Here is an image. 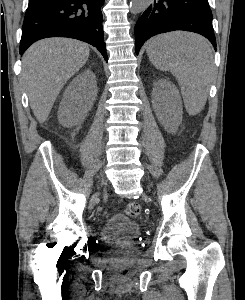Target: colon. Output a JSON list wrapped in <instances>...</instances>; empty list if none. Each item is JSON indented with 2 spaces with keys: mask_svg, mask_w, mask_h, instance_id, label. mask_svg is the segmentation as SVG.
I'll return each mask as SVG.
<instances>
[{
  "mask_svg": "<svg viewBox=\"0 0 245 300\" xmlns=\"http://www.w3.org/2000/svg\"><path fill=\"white\" fill-rule=\"evenodd\" d=\"M142 208L141 205L138 202H130L127 204L125 213L129 217H137L141 214ZM128 268L122 269V274H127Z\"/></svg>",
  "mask_w": 245,
  "mask_h": 300,
  "instance_id": "5ec220e1",
  "label": "colon"
}]
</instances>
